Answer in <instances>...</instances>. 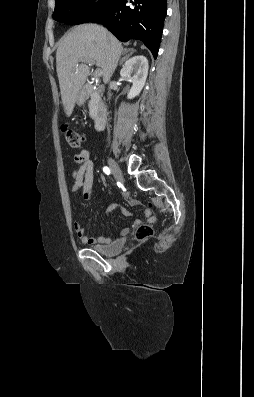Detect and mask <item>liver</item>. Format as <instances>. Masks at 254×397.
Returning <instances> with one entry per match:
<instances>
[{
    "instance_id": "obj_1",
    "label": "liver",
    "mask_w": 254,
    "mask_h": 397,
    "mask_svg": "<svg viewBox=\"0 0 254 397\" xmlns=\"http://www.w3.org/2000/svg\"><path fill=\"white\" fill-rule=\"evenodd\" d=\"M123 51L121 43L104 27L85 24L74 27L61 41L56 52V70L64 111L70 117L78 93L89 75L85 60H93L108 83Z\"/></svg>"
}]
</instances>
